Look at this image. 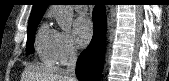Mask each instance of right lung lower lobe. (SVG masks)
<instances>
[{
	"label": "right lung lower lobe",
	"mask_w": 169,
	"mask_h": 81,
	"mask_svg": "<svg viewBox=\"0 0 169 81\" xmlns=\"http://www.w3.org/2000/svg\"><path fill=\"white\" fill-rule=\"evenodd\" d=\"M94 34L90 45L80 54L76 75L80 81H99L105 51L106 14L102 4L93 11Z\"/></svg>",
	"instance_id": "1"
}]
</instances>
